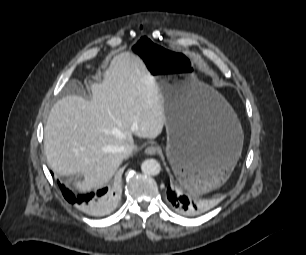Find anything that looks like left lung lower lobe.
I'll use <instances>...</instances> for the list:
<instances>
[{
    "label": "left lung lower lobe",
    "mask_w": 306,
    "mask_h": 255,
    "mask_svg": "<svg viewBox=\"0 0 306 255\" xmlns=\"http://www.w3.org/2000/svg\"><path fill=\"white\" fill-rule=\"evenodd\" d=\"M197 171L193 166H186L183 168L182 182L190 184L196 176ZM167 198L171 207L183 215H197L204 210L205 204L203 201L192 200L186 195L181 194L175 188H168Z\"/></svg>",
    "instance_id": "left-lung-lower-lobe-1"
}]
</instances>
